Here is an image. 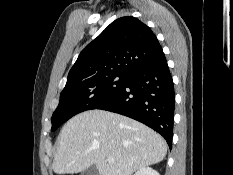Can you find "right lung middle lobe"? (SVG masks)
Segmentation results:
<instances>
[{"mask_svg": "<svg viewBox=\"0 0 233 175\" xmlns=\"http://www.w3.org/2000/svg\"><path fill=\"white\" fill-rule=\"evenodd\" d=\"M128 79L129 74L111 72L66 83L60 94L59 105L52 115L51 131L74 115L96 109L110 101L121 91Z\"/></svg>", "mask_w": 233, "mask_h": 175, "instance_id": "1", "label": "right lung middle lobe"}]
</instances>
